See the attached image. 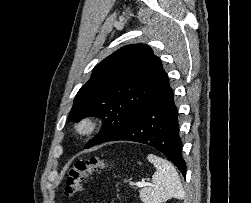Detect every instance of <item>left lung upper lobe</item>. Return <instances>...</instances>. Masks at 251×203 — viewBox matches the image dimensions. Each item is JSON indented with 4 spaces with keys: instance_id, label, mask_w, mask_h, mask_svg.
I'll list each match as a JSON object with an SVG mask.
<instances>
[{
    "instance_id": "left-lung-upper-lobe-1",
    "label": "left lung upper lobe",
    "mask_w": 251,
    "mask_h": 203,
    "mask_svg": "<svg viewBox=\"0 0 251 203\" xmlns=\"http://www.w3.org/2000/svg\"><path fill=\"white\" fill-rule=\"evenodd\" d=\"M167 78L160 59L144 44L127 45L95 66L78 91L69 120L101 117L103 127L85 148L109 141L160 91Z\"/></svg>"
}]
</instances>
